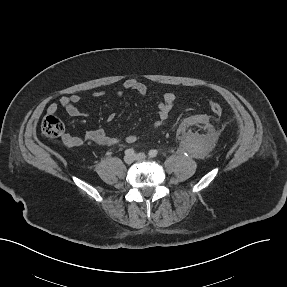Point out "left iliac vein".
Instances as JSON below:
<instances>
[{
  "mask_svg": "<svg viewBox=\"0 0 287 287\" xmlns=\"http://www.w3.org/2000/svg\"><path fill=\"white\" fill-rule=\"evenodd\" d=\"M145 158V154L144 153H139L137 155H135V159L136 160H142Z\"/></svg>",
  "mask_w": 287,
  "mask_h": 287,
  "instance_id": "left-iliac-vein-1",
  "label": "left iliac vein"
}]
</instances>
